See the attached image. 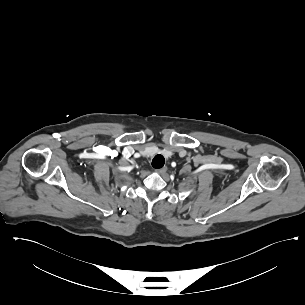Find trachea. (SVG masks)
Wrapping results in <instances>:
<instances>
[{
	"label": "trachea",
	"instance_id": "obj_1",
	"mask_svg": "<svg viewBox=\"0 0 305 305\" xmlns=\"http://www.w3.org/2000/svg\"><path fill=\"white\" fill-rule=\"evenodd\" d=\"M165 164V159L161 154H157L152 160V167L159 169Z\"/></svg>",
	"mask_w": 305,
	"mask_h": 305
}]
</instances>
